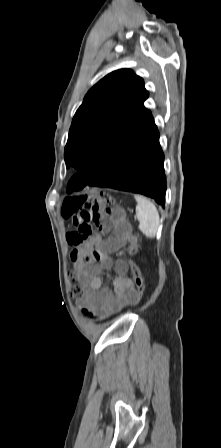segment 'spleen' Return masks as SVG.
<instances>
[{"mask_svg": "<svg viewBox=\"0 0 221 448\" xmlns=\"http://www.w3.org/2000/svg\"><path fill=\"white\" fill-rule=\"evenodd\" d=\"M137 201L136 218L140 231L148 238H154L159 228V213L155 205L141 195H135Z\"/></svg>", "mask_w": 221, "mask_h": 448, "instance_id": "spleen-1", "label": "spleen"}]
</instances>
